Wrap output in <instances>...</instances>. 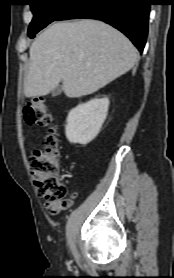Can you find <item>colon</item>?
Wrapping results in <instances>:
<instances>
[{
	"label": "colon",
	"instance_id": "obj_1",
	"mask_svg": "<svg viewBox=\"0 0 174 278\" xmlns=\"http://www.w3.org/2000/svg\"><path fill=\"white\" fill-rule=\"evenodd\" d=\"M23 115L28 124L48 128L43 147L35 150L29 159L36 192L48 204L65 203L68 201V190L59 176V141L45 100L42 98L29 100L24 106Z\"/></svg>",
	"mask_w": 174,
	"mask_h": 278
}]
</instances>
